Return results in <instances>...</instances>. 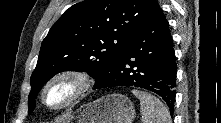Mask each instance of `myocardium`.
Here are the masks:
<instances>
[{"instance_id":"myocardium-1","label":"myocardium","mask_w":221,"mask_h":123,"mask_svg":"<svg viewBox=\"0 0 221 123\" xmlns=\"http://www.w3.org/2000/svg\"><path fill=\"white\" fill-rule=\"evenodd\" d=\"M66 81L72 85V92L67 99L57 105H51L46 100L48 90L56 83ZM92 78L84 71L66 69L53 74L43 85L40 92L42 104L49 110L59 111L72 107L82 101L93 87Z\"/></svg>"}]
</instances>
